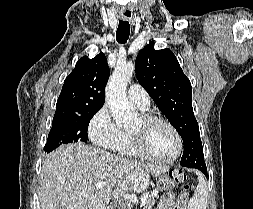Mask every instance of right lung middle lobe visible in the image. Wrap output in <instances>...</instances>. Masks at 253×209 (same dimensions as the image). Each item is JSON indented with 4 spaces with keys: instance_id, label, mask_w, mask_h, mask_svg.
I'll list each match as a JSON object with an SVG mask.
<instances>
[{
    "instance_id": "right-lung-middle-lobe-1",
    "label": "right lung middle lobe",
    "mask_w": 253,
    "mask_h": 209,
    "mask_svg": "<svg viewBox=\"0 0 253 209\" xmlns=\"http://www.w3.org/2000/svg\"><path fill=\"white\" fill-rule=\"evenodd\" d=\"M99 110V109H98ZM98 110H91L81 115L53 119L44 150L50 152L61 144L87 142L88 125Z\"/></svg>"
}]
</instances>
